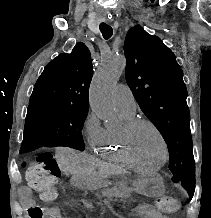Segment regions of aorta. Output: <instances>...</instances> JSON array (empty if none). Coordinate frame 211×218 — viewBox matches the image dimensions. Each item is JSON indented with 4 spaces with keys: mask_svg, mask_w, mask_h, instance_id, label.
Returning a JSON list of instances; mask_svg holds the SVG:
<instances>
[{
    "mask_svg": "<svg viewBox=\"0 0 211 218\" xmlns=\"http://www.w3.org/2000/svg\"><path fill=\"white\" fill-rule=\"evenodd\" d=\"M125 66L126 59L124 56H107L96 70L91 82L89 91L90 106L109 128H116L119 125L112 95Z\"/></svg>",
    "mask_w": 211,
    "mask_h": 218,
    "instance_id": "1",
    "label": "aorta"
}]
</instances>
